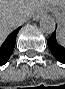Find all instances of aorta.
<instances>
[{"label": "aorta", "mask_w": 65, "mask_h": 89, "mask_svg": "<svg viewBox=\"0 0 65 89\" xmlns=\"http://www.w3.org/2000/svg\"><path fill=\"white\" fill-rule=\"evenodd\" d=\"M40 29L47 34H51L55 31L56 23L52 16L44 14L39 21Z\"/></svg>", "instance_id": "1"}]
</instances>
